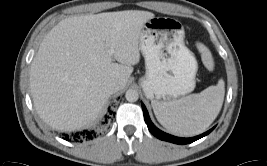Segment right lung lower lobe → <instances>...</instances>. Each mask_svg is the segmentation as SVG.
<instances>
[{
  "label": "right lung lower lobe",
  "mask_w": 267,
  "mask_h": 166,
  "mask_svg": "<svg viewBox=\"0 0 267 166\" xmlns=\"http://www.w3.org/2000/svg\"><path fill=\"white\" fill-rule=\"evenodd\" d=\"M110 114H112L111 111H110ZM108 118H111V117L106 115L105 120L102 122V124H106ZM93 136H95L94 131L84 130L81 132L74 133L72 135L64 134L63 139H65L67 141L82 142V140H84V139H92Z\"/></svg>",
  "instance_id": "98d812e1"
}]
</instances>
